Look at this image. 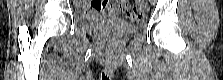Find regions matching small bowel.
I'll use <instances>...</instances> for the list:
<instances>
[{"label":"small bowel","mask_w":223,"mask_h":80,"mask_svg":"<svg viewBox=\"0 0 223 80\" xmlns=\"http://www.w3.org/2000/svg\"><path fill=\"white\" fill-rule=\"evenodd\" d=\"M121 3L119 1L115 2H93L90 6L81 5V10L86 14H100L107 13L111 15H116L120 11Z\"/></svg>","instance_id":"obj_1"}]
</instances>
